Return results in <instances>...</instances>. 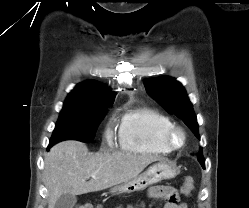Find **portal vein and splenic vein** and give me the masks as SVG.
I'll list each match as a JSON object with an SVG mask.
<instances>
[{"instance_id": "obj_1", "label": "portal vein and splenic vein", "mask_w": 249, "mask_h": 208, "mask_svg": "<svg viewBox=\"0 0 249 208\" xmlns=\"http://www.w3.org/2000/svg\"><path fill=\"white\" fill-rule=\"evenodd\" d=\"M92 178H95V175H91Z\"/></svg>"}]
</instances>
